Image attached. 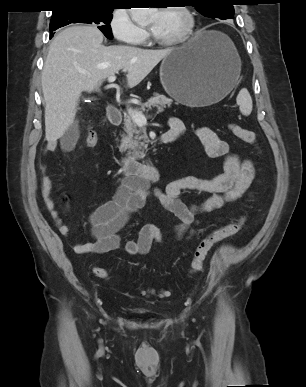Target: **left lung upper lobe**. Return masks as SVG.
I'll return each mask as SVG.
<instances>
[{"mask_svg": "<svg viewBox=\"0 0 306 387\" xmlns=\"http://www.w3.org/2000/svg\"><path fill=\"white\" fill-rule=\"evenodd\" d=\"M233 0H190L195 8L204 16L215 19L234 17Z\"/></svg>", "mask_w": 306, "mask_h": 387, "instance_id": "left-lung-upper-lobe-1", "label": "left lung upper lobe"}]
</instances>
